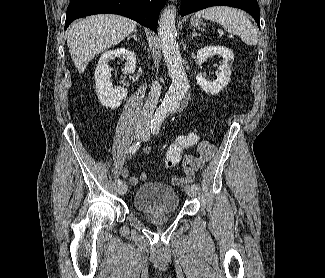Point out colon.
<instances>
[{
    "label": "colon",
    "mask_w": 325,
    "mask_h": 278,
    "mask_svg": "<svg viewBox=\"0 0 325 278\" xmlns=\"http://www.w3.org/2000/svg\"><path fill=\"white\" fill-rule=\"evenodd\" d=\"M194 138L182 136L174 141L167 149L165 155V166L167 168L175 167L181 160L183 150L193 145Z\"/></svg>",
    "instance_id": "colon-1"
}]
</instances>
